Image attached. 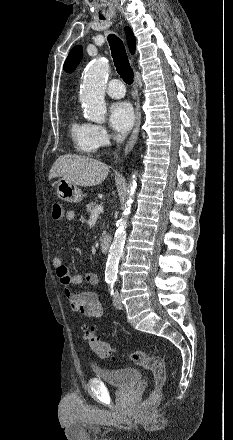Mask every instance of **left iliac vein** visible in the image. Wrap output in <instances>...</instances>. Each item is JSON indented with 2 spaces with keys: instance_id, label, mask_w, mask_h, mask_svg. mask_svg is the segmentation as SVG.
I'll list each match as a JSON object with an SVG mask.
<instances>
[{
  "instance_id": "left-iliac-vein-1",
  "label": "left iliac vein",
  "mask_w": 233,
  "mask_h": 440,
  "mask_svg": "<svg viewBox=\"0 0 233 440\" xmlns=\"http://www.w3.org/2000/svg\"><path fill=\"white\" fill-rule=\"evenodd\" d=\"M113 304L117 309H122L123 308V304L120 300V296L117 292H115L114 296H113Z\"/></svg>"
}]
</instances>
